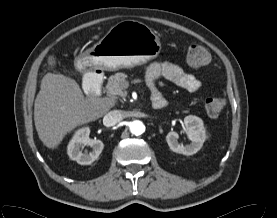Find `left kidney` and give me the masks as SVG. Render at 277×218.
<instances>
[{
    "mask_svg": "<svg viewBox=\"0 0 277 218\" xmlns=\"http://www.w3.org/2000/svg\"><path fill=\"white\" fill-rule=\"evenodd\" d=\"M184 124L189 139L191 140L189 145L184 146L179 144V135L175 131L167 134L166 141L173 152L189 156L197 153L203 146L206 139V130L202 119L197 116H186L184 118Z\"/></svg>",
    "mask_w": 277,
    "mask_h": 218,
    "instance_id": "left-kidney-1",
    "label": "left kidney"
}]
</instances>
